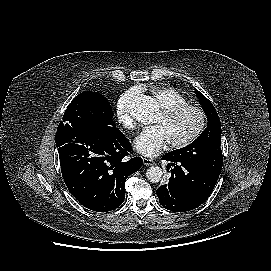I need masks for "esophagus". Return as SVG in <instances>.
Masks as SVG:
<instances>
[{"mask_svg":"<svg viewBox=\"0 0 271 271\" xmlns=\"http://www.w3.org/2000/svg\"><path fill=\"white\" fill-rule=\"evenodd\" d=\"M154 163L155 162L153 160L149 159V158H143V164L145 166H152V165H154Z\"/></svg>","mask_w":271,"mask_h":271,"instance_id":"obj_1","label":"esophagus"}]
</instances>
